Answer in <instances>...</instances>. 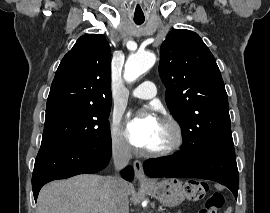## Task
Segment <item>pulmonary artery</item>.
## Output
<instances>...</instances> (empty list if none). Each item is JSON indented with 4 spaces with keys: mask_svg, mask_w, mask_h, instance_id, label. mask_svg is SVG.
<instances>
[{
    "mask_svg": "<svg viewBox=\"0 0 270 213\" xmlns=\"http://www.w3.org/2000/svg\"><path fill=\"white\" fill-rule=\"evenodd\" d=\"M156 94V85L152 81H144L132 91V96L138 99H151Z\"/></svg>",
    "mask_w": 270,
    "mask_h": 213,
    "instance_id": "pulmonary-artery-1",
    "label": "pulmonary artery"
}]
</instances>
